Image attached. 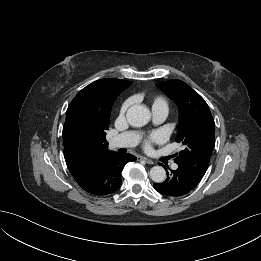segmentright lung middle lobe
Masks as SVG:
<instances>
[{
    "label": "right lung middle lobe",
    "instance_id": "dd1d6c3e",
    "mask_svg": "<svg viewBox=\"0 0 261 261\" xmlns=\"http://www.w3.org/2000/svg\"><path fill=\"white\" fill-rule=\"evenodd\" d=\"M109 127V120H107L103 125H100L97 129L92 131L88 137L94 141L100 142V143H105L106 142V130H108Z\"/></svg>",
    "mask_w": 261,
    "mask_h": 261
}]
</instances>
